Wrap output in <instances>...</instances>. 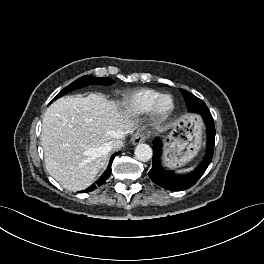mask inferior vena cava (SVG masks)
<instances>
[{"label": "inferior vena cava", "mask_w": 264, "mask_h": 264, "mask_svg": "<svg viewBox=\"0 0 264 264\" xmlns=\"http://www.w3.org/2000/svg\"><path fill=\"white\" fill-rule=\"evenodd\" d=\"M110 149H119L123 146V141L121 139H114L109 142Z\"/></svg>", "instance_id": "inferior-vena-cava-1"}]
</instances>
